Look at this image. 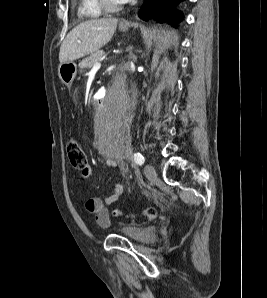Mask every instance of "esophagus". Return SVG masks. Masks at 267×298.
<instances>
[{"label": "esophagus", "mask_w": 267, "mask_h": 298, "mask_svg": "<svg viewBox=\"0 0 267 298\" xmlns=\"http://www.w3.org/2000/svg\"><path fill=\"white\" fill-rule=\"evenodd\" d=\"M121 25H128V22L126 20H123L120 22Z\"/></svg>", "instance_id": "34e87169"}]
</instances>
